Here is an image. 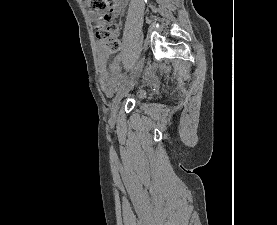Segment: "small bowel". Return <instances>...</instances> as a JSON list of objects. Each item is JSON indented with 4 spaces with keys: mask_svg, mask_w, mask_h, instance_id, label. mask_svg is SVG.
Masks as SVG:
<instances>
[{
    "mask_svg": "<svg viewBox=\"0 0 277 225\" xmlns=\"http://www.w3.org/2000/svg\"><path fill=\"white\" fill-rule=\"evenodd\" d=\"M126 0H119L112 8V13L116 16L125 7ZM124 54L120 53L108 65V55L102 51L98 54V75L99 82L104 92L111 93L117 89L121 82L126 80V76L121 71V62Z\"/></svg>",
    "mask_w": 277,
    "mask_h": 225,
    "instance_id": "1",
    "label": "small bowel"
}]
</instances>
